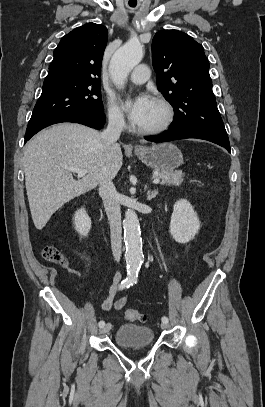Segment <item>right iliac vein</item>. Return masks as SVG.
<instances>
[{
	"label": "right iliac vein",
	"mask_w": 265,
	"mask_h": 407,
	"mask_svg": "<svg viewBox=\"0 0 265 407\" xmlns=\"http://www.w3.org/2000/svg\"><path fill=\"white\" fill-rule=\"evenodd\" d=\"M110 329H111V324H110V323H107L106 325H104V326L99 330V332H100V334H105V333L109 332Z\"/></svg>",
	"instance_id": "obj_1"
}]
</instances>
